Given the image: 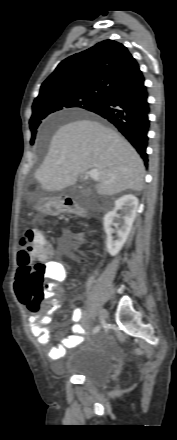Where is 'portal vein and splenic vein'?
Listing matches in <instances>:
<instances>
[{"label": "portal vein and splenic vein", "instance_id": "18ae733b", "mask_svg": "<svg viewBox=\"0 0 177 440\" xmlns=\"http://www.w3.org/2000/svg\"><path fill=\"white\" fill-rule=\"evenodd\" d=\"M89 177L91 179L98 180L99 179L98 171L96 169H92L91 171H89Z\"/></svg>", "mask_w": 177, "mask_h": 440}]
</instances>
